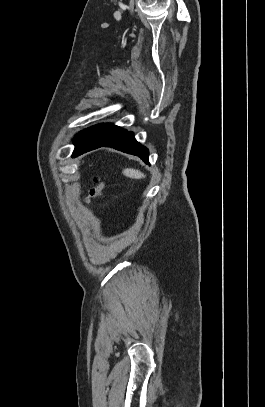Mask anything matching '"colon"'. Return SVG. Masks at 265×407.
Instances as JSON below:
<instances>
[{
  "label": "colon",
  "instance_id": "1",
  "mask_svg": "<svg viewBox=\"0 0 265 407\" xmlns=\"http://www.w3.org/2000/svg\"><path fill=\"white\" fill-rule=\"evenodd\" d=\"M105 183L100 176H95L93 178V185L88 189V192L85 196V202L91 203L96 199H99L104 194Z\"/></svg>",
  "mask_w": 265,
  "mask_h": 407
}]
</instances>
